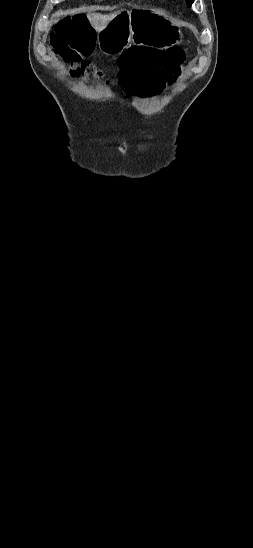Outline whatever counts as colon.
I'll return each mask as SVG.
<instances>
[{"label":"colon","mask_w":253,"mask_h":548,"mask_svg":"<svg viewBox=\"0 0 253 548\" xmlns=\"http://www.w3.org/2000/svg\"><path fill=\"white\" fill-rule=\"evenodd\" d=\"M95 43V34L82 15L67 16L56 25L52 45L55 52L70 63L74 76L101 79L103 72L93 63L83 60ZM184 52L179 48L148 49L132 47L119 59L121 91L132 96H164L168 83H174L182 74Z\"/></svg>","instance_id":"colon-1"}]
</instances>
